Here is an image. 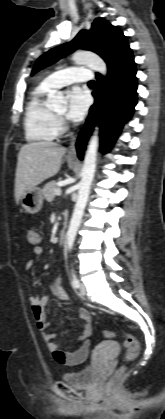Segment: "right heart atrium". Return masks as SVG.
<instances>
[{
    "label": "right heart atrium",
    "instance_id": "right-heart-atrium-1",
    "mask_svg": "<svg viewBox=\"0 0 165 419\" xmlns=\"http://www.w3.org/2000/svg\"><path fill=\"white\" fill-rule=\"evenodd\" d=\"M57 123H58L59 128H63L65 125L64 120L61 117L57 118Z\"/></svg>",
    "mask_w": 165,
    "mask_h": 419
}]
</instances>
